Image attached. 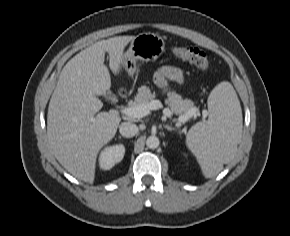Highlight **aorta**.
<instances>
[{
  "instance_id": "aorta-1",
  "label": "aorta",
  "mask_w": 290,
  "mask_h": 236,
  "mask_svg": "<svg viewBox=\"0 0 290 236\" xmlns=\"http://www.w3.org/2000/svg\"><path fill=\"white\" fill-rule=\"evenodd\" d=\"M159 144H160L159 138L155 135L149 136L146 140V145L150 149L157 148L159 146Z\"/></svg>"
}]
</instances>
